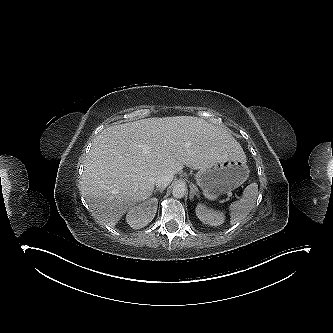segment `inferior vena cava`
Here are the masks:
<instances>
[{
    "label": "inferior vena cava",
    "mask_w": 333,
    "mask_h": 333,
    "mask_svg": "<svg viewBox=\"0 0 333 333\" xmlns=\"http://www.w3.org/2000/svg\"><path fill=\"white\" fill-rule=\"evenodd\" d=\"M173 175L171 174H162L159 175L155 180V185L157 188H166L173 180Z\"/></svg>",
    "instance_id": "obj_1"
}]
</instances>
